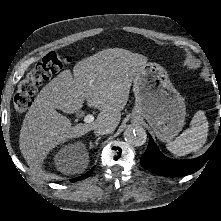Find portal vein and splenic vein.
<instances>
[{
	"mask_svg": "<svg viewBox=\"0 0 221 221\" xmlns=\"http://www.w3.org/2000/svg\"><path fill=\"white\" fill-rule=\"evenodd\" d=\"M83 121H84L85 123H91V122L94 121V116L88 114V115H86V116L84 117V120H83Z\"/></svg>",
	"mask_w": 221,
	"mask_h": 221,
	"instance_id": "obj_1",
	"label": "portal vein and splenic vein"
}]
</instances>
